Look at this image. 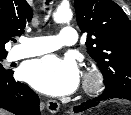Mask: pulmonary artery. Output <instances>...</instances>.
<instances>
[{"mask_svg": "<svg viewBox=\"0 0 131 115\" xmlns=\"http://www.w3.org/2000/svg\"><path fill=\"white\" fill-rule=\"evenodd\" d=\"M77 42V32L71 26L62 28L58 36H37L25 38L21 46L13 51L12 58L15 60L37 56L56 50L60 45H73Z\"/></svg>", "mask_w": 131, "mask_h": 115, "instance_id": "e3ab8cb5", "label": "pulmonary artery"}]
</instances>
